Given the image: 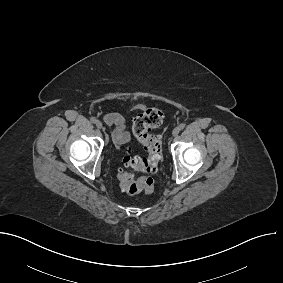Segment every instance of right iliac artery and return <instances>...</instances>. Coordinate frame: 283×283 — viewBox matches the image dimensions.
Masks as SVG:
<instances>
[{
	"instance_id": "right-iliac-artery-1",
	"label": "right iliac artery",
	"mask_w": 283,
	"mask_h": 283,
	"mask_svg": "<svg viewBox=\"0 0 283 283\" xmlns=\"http://www.w3.org/2000/svg\"><path fill=\"white\" fill-rule=\"evenodd\" d=\"M90 121L92 122V123H97V119L95 118V117H92L91 119H90Z\"/></svg>"
}]
</instances>
